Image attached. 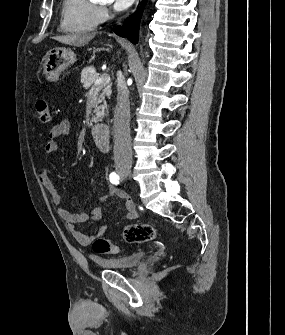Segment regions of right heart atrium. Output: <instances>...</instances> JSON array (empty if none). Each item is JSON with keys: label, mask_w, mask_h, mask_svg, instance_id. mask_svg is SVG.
Segmentation results:
<instances>
[{"label": "right heart atrium", "mask_w": 285, "mask_h": 335, "mask_svg": "<svg viewBox=\"0 0 285 335\" xmlns=\"http://www.w3.org/2000/svg\"><path fill=\"white\" fill-rule=\"evenodd\" d=\"M93 16H94L97 24L104 23L109 16V6H108L107 2L99 1V3H97V5H96V7L93 11Z\"/></svg>", "instance_id": "d8ad5b80"}]
</instances>
